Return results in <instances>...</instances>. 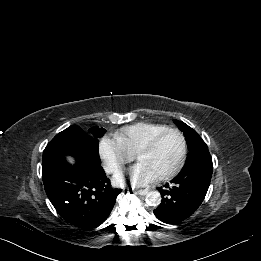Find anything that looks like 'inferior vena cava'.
<instances>
[{
  "label": "inferior vena cava",
  "mask_w": 261,
  "mask_h": 261,
  "mask_svg": "<svg viewBox=\"0 0 261 261\" xmlns=\"http://www.w3.org/2000/svg\"><path fill=\"white\" fill-rule=\"evenodd\" d=\"M106 171H107V172H112V171H113V167L107 166V167H106Z\"/></svg>",
  "instance_id": "inferior-vena-cava-1"
}]
</instances>
